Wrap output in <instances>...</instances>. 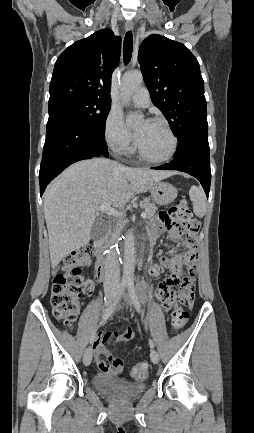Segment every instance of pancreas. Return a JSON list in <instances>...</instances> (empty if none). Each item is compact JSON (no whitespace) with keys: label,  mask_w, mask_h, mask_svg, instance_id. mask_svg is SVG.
Listing matches in <instances>:
<instances>
[{"label":"pancreas","mask_w":254,"mask_h":433,"mask_svg":"<svg viewBox=\"0 0 254 433\" xmlns=\"http://www.w3.org/2000/svg\"><path fill=\"white\" fill-rule=\"evenodd\" d=\"M140 207L145 209L146 218H151L157 211V207L155 206V204L149 201H141ZM125 225L126 222L123 220H118L116 222V225L113 228V232L111 233V241H114L120 235Z\"/></svg>","instance_id":"cf45deb5"}]
</instances>
